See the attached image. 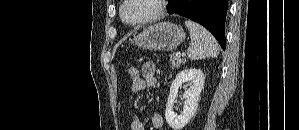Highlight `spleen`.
<instances>
[{"label":"spleen","instance_id":"spleen-1","mask_svg":"<svg viewBox=\"0 0 299 130\" xmlns=\"http://www.w3.org/2000/svg\"><path fill=\"white\" fill-rule=\"evenodd\" d=\"M185 26L190 31L191 45L187 50V55L191 60L216 58L218 56V43L208 30L191 20H186Z\"/></svg>","mask_w":299,"mask_h":130}]
</instances>
